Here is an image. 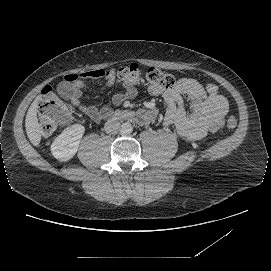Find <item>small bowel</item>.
Here are the masks:
<instances>
[{
	"instance_id": "obj_1",
	"label": "small bowel",
	"mask_w": 271,
	"mask_h": 271,
	"mask_svg": "<svg viewBox=\"0 0 271 271\" xmlns=\"http://www.w3.org/2000/svg\"><path fill=\"white\" fill-rule=\"evenodd\" d=\"M87 79H101L104 87H111L116 83L121 84L124 91L115 93L112 97V103L115 106L133 99L137 94L136 88L122 82L113 69L90 70L66 76L65 81L70 84L72 90L69 97L71 104L79 107L82 113L94 122L107 118L112 109L109 105L98 109L81 103L82 93L88 88L85 83ZM185 96L189 99L188 110L184 106ZM163 98L166 103L163 124L173 127L182 138L197 140L207 134L217 132L224 125L228 102L214 84L204 86L195 79L181 78L174 87L163 94ZM156 116V110H147L140 114L141 121L144 123L154 120Z\"/></svg>"
}]
</instances>
